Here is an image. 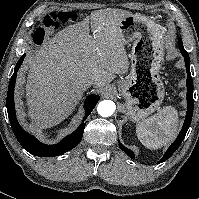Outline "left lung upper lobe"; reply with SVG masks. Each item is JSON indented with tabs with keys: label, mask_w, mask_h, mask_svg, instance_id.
<instances>
[{
	"label": "left lung upper lobe",
	"mask_w": 199,
	"mask_h": 199,
	"mask_svg": "<svg viewBox=\"0 0 199 199\" xmlns=\"http://www.w3.org/2000/svg\"><path fill=\"white\" fill-rule=\"evenodd\" d=\"M179 41H181V42H182V39H181V38H179Z\"/></svg>",
	"instance_id": "left-lung-upper-lobe-1"
}]
</instances>
